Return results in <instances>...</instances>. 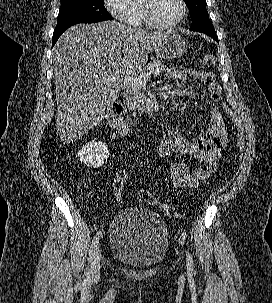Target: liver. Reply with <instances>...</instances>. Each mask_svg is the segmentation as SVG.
Instances as JSON below:
<instances>
[{"instance_id": "obj_1", "label": "liver", "mask_w": 272, "mask_h": 303, "mask_svg": "<svg viewBox=\"0 0 272 303\" xmlns=\"http://www.w3.org/2000/svg\"><path fill=\"white\" fill-rule=\"evenodd\" d=\"M167 34L104 21L77 24L61 35L52 55L62 142L75 141L100 123L117 99L120 79L145 66ZM113 77L117 80L104 79Z\"/></svg>"}]
</instances>
